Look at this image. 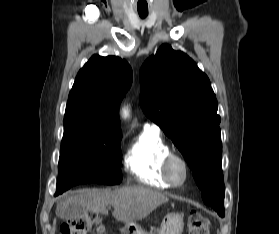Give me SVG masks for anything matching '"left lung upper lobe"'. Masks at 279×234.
Returning <instances> with one entry per match:
<instances>
[{
  "mask_svg": "<svg viewBox=\"0 0 279 234\" xmlns=\"http://www.w3.org/2000/svg\"><path fill=\"white\" fill-rule=\"evenodd\" d=\"M140 104L183 154L204 203L224 217L221 119L206 74L183 52L162 45L140 69Z\"/></svg>",
  "mask_w": 279,
  "mask_h": 234,
  "instance_id": "5c2ea615",
  "label": "left lung upper lobe"
}]
</instances>
